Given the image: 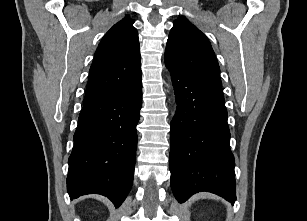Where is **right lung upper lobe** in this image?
<instances>
[{
  "instance_id": "obj_1",
  "label": "right lung upper lobe",
  "mask_w": 307,
  "mask_h": 221,
  "mask_svg": "<svg viewBox=\"0 0 307 221\" xmlns=\"http://www.w3.org/2000/svg\"><path fill=\"white\" fill-rule=\"evenodd\" d=\"M133 23L125 17L104 35L89 71L83 104L127 90L141 80L139 39Z\"/></svg>"
}]
</instances>
